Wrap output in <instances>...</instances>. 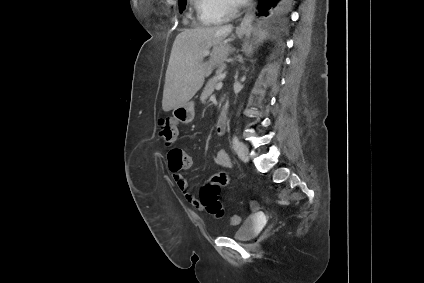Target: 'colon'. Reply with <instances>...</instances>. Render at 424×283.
Listing matches in <instances>:
<instances>
[{"mask_svg": "<svg viewBox=\"0 0 424 283\" xmlns=\"http://www.w3.org/2000/svg\"><path fill=\"white\" fill-rule=\"evenodd\" d=\"M159 134L167 143H173L178 136V128L173 118L166 117L159 120ZM169 169L172 172L180 171L189 166L188 155L179 148H172L168 152ZM230 183L229 176L224 172H219L210 177L201 187V205L216 217H222L224 211L219 201L220 189ZM240 222L238 215H231L229 223L237 225Z\"/></svg>", "mask_w": 424, "mask_h": 283, "instance_id": "obj_1", "label": "colon"}]
</instances>
